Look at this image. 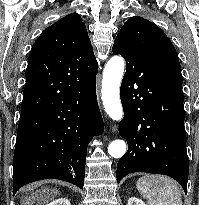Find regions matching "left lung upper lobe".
<instances>
[{
    "label": "left lung upper lobe",
    "mask_w": 199,
    "mask_h": 205,
    "mask_svg": "<svg viewBox=\"0 0 199 205\" xmlns=\"http://www.w3.org/2000/svg\"><path fill=\"white\" fill-rule=\"evenodd\" d=\"M115 42H122L152 62L163 77L182 90V74L177 52L165 33L154 23L131 17L122 26Z\"/></svg>",
    "instance_id": "5c2ea615"
}]
</instances>
